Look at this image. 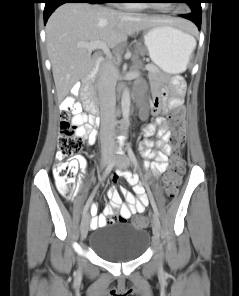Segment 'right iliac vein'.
<instances>
[{
	"mask_svg": "<svg viewBox=\"0 0 239 296\" xmlns=\"http://www.w3.org/2000/svg\"><path fill=\"white\" fill-rule=\"evenodd\" d=\"M110 161H111V157L109 153L103 154L102 162H101L102 166L103 167L106 166ZM84 218L85 219L81 222V227H80L82 239H85L87 237L88 230H89V217L88 215H86Z\"/></svg>",
	"mask_w": 239,
	"mask_h": 296,
	"instance_id": "63e3f726",
	"label": "right iliac vein"
}]
</instances>
